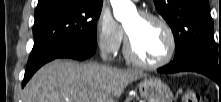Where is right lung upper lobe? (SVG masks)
Instances as JSON below:
<instances>
[{
  "mask_svg": "<svg viewBox=\"0 0 221 102\" xmlns=\"http://www.w3.org/2000/svg\"><path fill=\"white\" fill-rule=\"evenodd\" d=\"M47 1H50V0H39L38 5L43 4V3L47 2ZM85 1L91 2V3H100V2H103V0H85Z\"/></svg>",
  "mask_w": 221,
  "mask_h": 102,
  "instance_id": "obj_1",
  "label": "right lung upper lobe"
}]
</instances>
